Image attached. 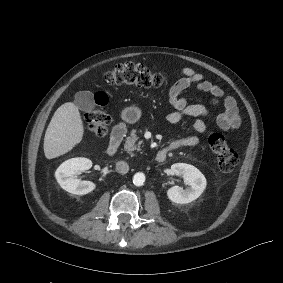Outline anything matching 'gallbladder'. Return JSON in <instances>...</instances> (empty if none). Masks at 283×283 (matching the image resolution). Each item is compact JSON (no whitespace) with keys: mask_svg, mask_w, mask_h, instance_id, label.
<instances>
[{"mask_svg":"<svg viewBox=\"0 0 283 283\" xmlns=\"http://www.w3.org/2000/svg\"><path fill=\"white\" fill-rule=\"evenodd\" d=\"M75 104L80 110L91 111L94 109L93 93L90 91H80L75 94Z\"/></svg>","mask_w":283,"mask_h":283,"instance_id":"obj_1","label":"gallbladder"}]
</instances>
